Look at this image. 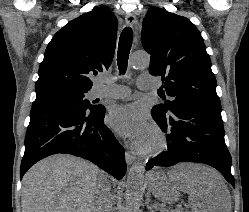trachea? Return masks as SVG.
<instances>
[{
	"label": "trachea",
	"instance_id": "obj_1",
	"mask_svg": "<svg viewBox=\"0 0 249 212\" xmlns=\"http://www.w3.org/2000/svg\"><path fill=\"white\" fill-rule=\"evenodd\" d=\"M132 45V29L125 27L119 39V46L117 52V64L121 74H125L127 69V62Z\"/></svg>",
	"mask_w": 249,
	"mask_h": 212
}]
</instances>
